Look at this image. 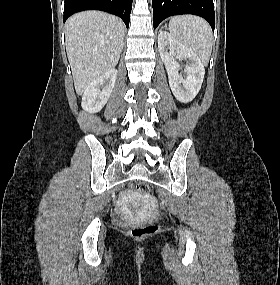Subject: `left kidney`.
I'll return each instance as SVG.
<instances>
[{
    "label": "left kidney",
    "instance_id": "5707ae66",
    "mask_svg": "<svg viewBox=\"0 0 280 285\" xmlns=\"http://www.w3.org/2000/svg\"><path fill=\"white\" fill-rule=\"evenodd\" d=\"M158 49L175 98L182 103L192 101L198 94L205 75L200 58L167 31H162L158 35ZM177 60L186 62V77L179 74L181 68Z\"/></svg>",
    "mask_w": 280,
    "mask_h": 285
}]
</instances>
